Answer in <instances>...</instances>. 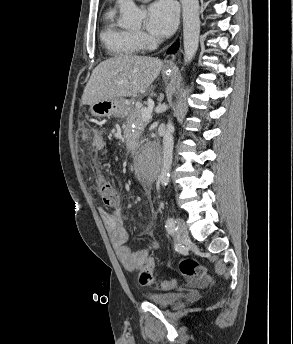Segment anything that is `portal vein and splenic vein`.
<instances>
[{
  "mask_svg": "<svg viewBox=\"0 0 293 344\" xmlns=\"http://www.w3.org/2000/svg\"><path fill=\"white\" fill-rule=\"evenodd\" d=\"M151 114H152V108L143 107L141 109V115H142L143 121L145 122L149 121L151 119Z\"/></svg>",
  "mask_w": 293,
  "mask_h": 344,
  "instance_id": "obj_1",
  "label": "portal vein and splenic vein"
}]
</instances>
